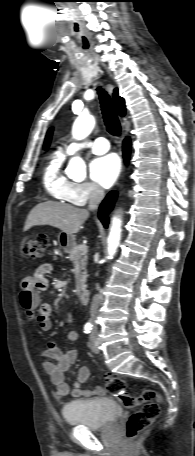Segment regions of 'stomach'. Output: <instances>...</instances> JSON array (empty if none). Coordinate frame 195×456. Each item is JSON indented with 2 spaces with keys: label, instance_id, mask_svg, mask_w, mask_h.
<instances>
[{
  "label": "stomach",
  "instance_id": "stomach-1",
  "mask_svg": "<svg viewBox=\"0 0 195 456\" xmlns=\"http://www.w3.org/2000/svg\"><path fill=\"white\" fill-rule=\"evenodd\" d=\"M58 238H59L60 246L65 251L71 250L76 244L74 235H68V234H66L64 232H61L59 234Z\"/></svg>",
  "mask_w": 195,
  "mask_h": 456
}]
</instances>
